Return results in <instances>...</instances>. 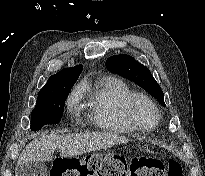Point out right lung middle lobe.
<instances>
[{
  "label": "right lung middle lobe",
  "mask_w": 205,
  "mask_h": 176,
  "mask_svg": "<svg viewBox=\"0 0 205 176\" xmlns=\"http://www.w3.org/2000/svg\"><path fill=\"white\" fill-rule=\"evenodd\" d=\"M71 88H64L57 92L40 95L31 113V130H39L47 124L60 122L64 111L65 100Z\"/></svg>",
  "instance_id": "right-lung-middle-lobe-1"
}]
</instances>
